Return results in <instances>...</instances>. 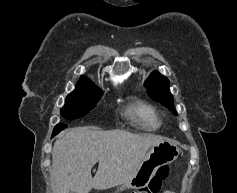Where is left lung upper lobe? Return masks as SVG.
<instances>
[{"label":"left lung upper lobe","mask_w":237,"mask_h":193,"mask_svg":"<svg viewBox=\"0 0 237 193\" xmlns=\"http://www.w3.org/2000/svg\"><path fill=\"white\" fill-rule=\"evenodd\" d=\"M150 97L167 106L175 115L177 112L173 106V98L169 91V81L160 73L153 72L145 83Z\"/></svg>","instance_id":"5c2ea615"}]
</instances>
